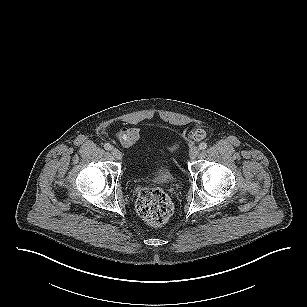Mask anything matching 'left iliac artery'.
Returning <instances> with one entry per match:
<instances>
[{
    "label": "left iliac artery",
    "instance_id": "left-iliac-artery-1",
    "mask_svg": "<svg viewBox=\"0 0 307 307\" xmlns=\"http://www.w3.org/2000/svg\"><path fill=\"white\" fill-rule=\"evenodd\" d=\"M199 148H200L201 150L206 149V148H207V143H206V142H201L200 145H199Z\"/></svg>",
    "mask_w": 307,
    "mask_h": 307
}]
</instances>
